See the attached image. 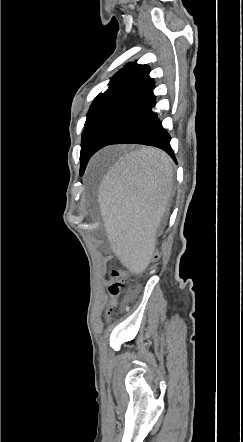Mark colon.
<instances>
[{
  "instance_id": "1",
  "label": "colon",
  "mask_w": 243,
  "mask_h": 442,
  "mask_svg": "<svg viewBox=\"0 0 243 442\" xmlns=\"http://www.w3.org/2000/svg\"><path fill=\"white\" fill-rule=\"evenodd\" d=\"M166 248L164 246H158L157 251H153L152 255L145 261L144 268L146 270H152V262L158 263L161 260L160 253H164ZM142 268V265H139ZM110 274V282L108 285L109 300L107 303L106 314L109 316L118 304V299H122L123 290L127 285V278L132 277V272H139V269H131L129 265L121 263L119 266H112L107 269Z\"/></svg>"
}]
</instances>
